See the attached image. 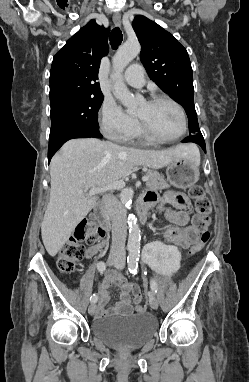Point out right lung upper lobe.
<instances>
[{
    "label": "right lung upper lobe",
    "instance_id": "cb5924a9",
    "mask_svg": "<svg viewBox=\"0 0 249 382\" xmlns=\"http://www.w3.org/2000/svg\"><path fill=\"white\" fill-rule=\"evenodd\" d=\"M109 28L91 20L54 56L50 71V104L102 94L100 60L108 53Z\"/></svg>",
    "mask_w": 249,
    "mask_h": 382
}]
</instances>
